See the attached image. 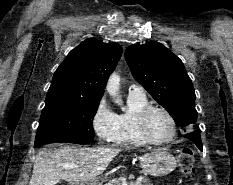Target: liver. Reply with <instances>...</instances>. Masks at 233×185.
<instances>
[{"mask_svg":"<svg viewBox=\"0 0 233 185\" xmlns=\"http://www.w3.org/2000/svg\"><path fill=\"white\" fill-rule=\"evenodd\" d=\"M120 148H74L42 150L36 156L29 185H54L65 180L74 185L88 182L101 175L109 163L121 152ZM64 165L77 168L65 169Z\"/></svg>","mask_w":233,"mask_h":185,"instance_id":"obj_1","label":"liver"}]
</instances>
